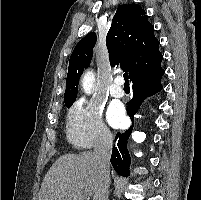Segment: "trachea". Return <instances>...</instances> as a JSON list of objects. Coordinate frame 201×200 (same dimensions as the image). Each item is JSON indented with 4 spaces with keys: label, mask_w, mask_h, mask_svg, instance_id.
<instances>
[{
    "label": "trachea",
    "mask_w": 201,
    "mask_h": 200,
    "mask_svg": "<svg viewBox=\"0 0 201 200\" xmlns=\"http://www.w3.org/2000/svg\"><path fill=\"white\" fill-rule=\"evenodd\" d=\"M123 77H124V80H125L124 86H129V76H128V73H124Z\"/></svg>",
    "instance_id": "1"
}]
</instances>
